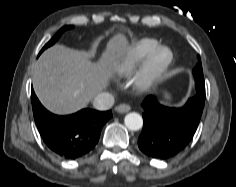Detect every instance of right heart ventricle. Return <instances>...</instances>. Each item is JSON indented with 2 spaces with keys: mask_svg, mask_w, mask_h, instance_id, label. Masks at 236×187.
<instances>
[{
  "mask_svg": "<svg viewBox=\"0 0 236 187\" xmlns=\"http://www.w3.org/2000/svg\"><path fill=\"white\" fill-rule=\"evenodd\" d=\"M159 46L153 38H141L128 44L111 63L110 69L120 76L131 74Z\"/></svg>",
  "mask_w": 236,
  "mask_h": 187,
  "instance_id": "obj_1",
  "label": "right heart ventricle"
}]
</instances>
